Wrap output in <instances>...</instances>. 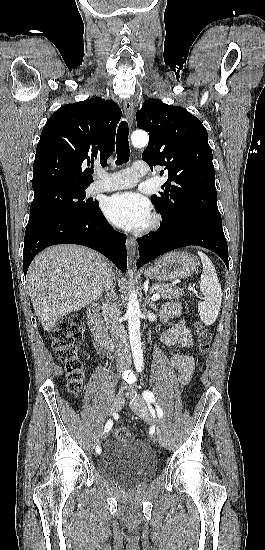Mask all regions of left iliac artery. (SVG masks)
<instances>
[{
	"instance_id": "obj_1",
	"label": "left iliac artery",
	"mask_w": 265,
	"mask_h": 550,
	"mask_svg": "<svg viewBox=\"0 0 265 550\" xmlns=\"http://www.w3.org/2000/svg\"><path fill=\"white\" fill-rule=\"evenodd\" d=\"M143 398L146 401V403L148 404L149 409H150V403H152V402L155 403V397H154L153 393L149 390H146V391L143 392ZM156 411H157L158 417L162 418L163 417V410L157 404H156Z\"/></svg>"
}]
</instances>
